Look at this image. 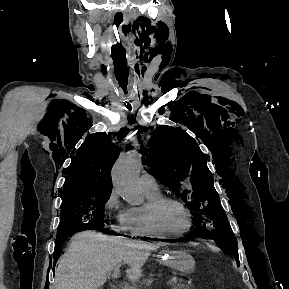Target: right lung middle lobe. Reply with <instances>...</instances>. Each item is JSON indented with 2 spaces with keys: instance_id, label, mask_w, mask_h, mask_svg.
Returning <instances> with one entry per match:
<instances>
[{
  "instance_id": "dd1d6c3e",
  "label": "right lung middle lobe",
  "mask_w": 289,
  "mask_h": 289,
  "mask_svg": "<svg viewBox=\"0 0 289 289\" xmlns=\"http://www.w3.org/2000/svg\"><path fill=\"white\" fill-rule=\"evenodd\" d=\"M110 195L111 192H100L64 197L57 238L66 239L80 230L107 233L103 229L104 205Z\"/></svg>"
}]
</instances>
